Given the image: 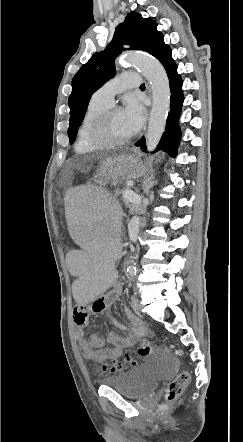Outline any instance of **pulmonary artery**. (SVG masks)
Wrapping results in <instances>:
<instances>
[{
	"mask_svg": "<svg viewBox=\"0 0 243 442\" xmlns=\"http://www.w3.org/2000/svg\"><path fill=\"white\" fill-rule=\"evenodd\" d=\"M140 82L139 73L126 71L106 82L93 94V97L97 101L113 105L116 94L126 89L138 87Z\"/></svg>",
	"mask_w": 243,
	"mask_h": 442,
	"instance_id": "1",
	"label": "pulmonary artery"
}]
</instances>
